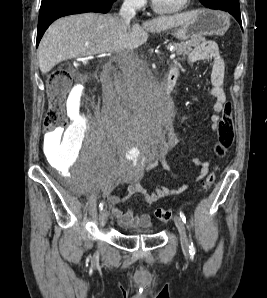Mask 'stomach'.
<instances>
[{
    "label": "stomach",
    "instance_id": "1",
    "mask_svg": "<svg viewBox=\"0 0 267 298\" xmlns=\"http://www.w3.org/2000/svg\"><path fill=\"white\" fill-rule=\"evenodd\" d=\"M192 14V19L172 31L177 39L187 40L202 35L221 36L230 26V16L223 11L202 9L195 10Z\"/></svg>",
    "mask_w": 267,
    "mask_h": 298
}]
</instances>
